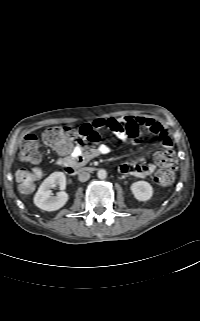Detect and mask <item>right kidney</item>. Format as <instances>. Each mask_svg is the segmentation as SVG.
I'll return each mask as SVG.
<instances>
[{
    "instance_id": "1",
    "label": "right kidney",
    "mask_w": 200,
    "mask_h": 321,
    "mask_svg": "<svg viewBox=\"0 0 200 321\" xmlns=\"http://www.w3.org/2000/svg\"><path fill=\"white\" fill-rule=\"evenodd\" d=\"M59 186L60 192L52 196V188ZM66 187V176L63 172H54L48 176L40 185L34 196V204L45 211H56L62 208L68 201V194L64 191Z\"/></svg>"
}]
</instances>
